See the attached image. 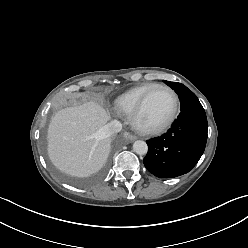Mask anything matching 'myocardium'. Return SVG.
<instances>
[{"label":"myocardium","mask_w":248,"mask_h":248,"mask_svg":"<svg viewBox=\"0 0 248 248\" xmlns=\"http://www.w3.org/2000/svg\"><path fill=\"white\" fill-rule=\"evenodd\" d=\"M158 88L165 89L172 96V98H173L172 111H171L170 115L168 116V118L164 122H162L161 124L154 126V127H144V126L140 125V123L138 121L139 116H140V114L143 110V107L146 103V100L149 97V95L151 94V92L154 91L155 89H158ZM178 108H179V100H178V96L175 93V91L167 85L156 84L153 87H151L150 89H148L140 98L139 102L137 103L136 107L134 108L133 112L130 115V124L135 131H137L138 133H140L142 135H159L171 127V125L173 124V122L175 121V119L177 117Z\"/></svg>","instance_id":"1"}]
</instances>
